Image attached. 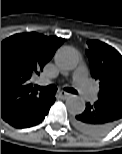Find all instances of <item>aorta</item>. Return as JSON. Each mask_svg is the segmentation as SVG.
Masks as SVG:
<instances>
[{"mask_svg": "<svg viewBox=\"0 0 122 154\" xmlns=\"http://www.w3.org/2000/svg\"><path fill=\"white\" fill-rule=\"evenodd\" d=\"M55 63L61 70L71 71L79 64V54L72 47H61L55 55ZM85 107L84 99L77 95H70L66 99V108L73 115L83 113Z\"/></svg>", "mask_w": 122, "mask_h": 154, "instance_id": "aorta-1", "label": "aorta"}]
</instances>
